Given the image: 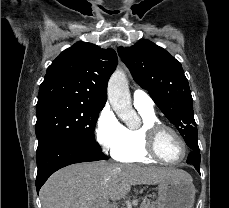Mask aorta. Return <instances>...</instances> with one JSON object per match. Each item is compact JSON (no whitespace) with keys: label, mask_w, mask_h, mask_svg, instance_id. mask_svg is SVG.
<instances>
[{"label":"aorta","mask_w":229,"mask_h":208,"mask_svg":"<svg viewBox=\"0 0 229 208\" xmlns=\"http://www.w3.org/2000/svg\"><path fill=\"white\" fill-rule=\"evenodd\" d=\"M108 99L117 116L128 126L134 127L139 117L131 104L127 77L123 70L117 69L108 82ZM129 208V202H126Z\"/></svg>","instance_id":"762f6f07"}]
</instances>
